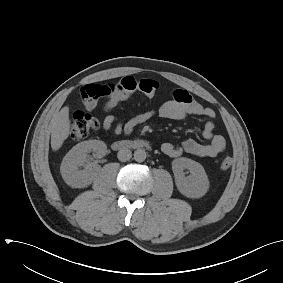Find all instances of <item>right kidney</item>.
<instances>
[{"instance_id":"obj_1","label":"right kidney","mask_w":283,"mask_h":283,"mask_svg":"<svg viewBox=\"0 0 283 283\" xmlns=\"http://www.w3.org/2000/svg\"><path fill=\"white\" fill-rule=\"evenodd\" d=\"M93 152L94 158L106 155L107 146L99 140H88L78 143L63 158L60 172L64 181L72 188L89 186L93 179L97 164L92 162L89 153ZM84 166V169H80Z\"/></svg>"}]
</instances>
